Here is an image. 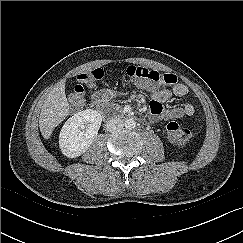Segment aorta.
Wrapping results in <instances>:
<instances>
[{"instance_id": "762f6f07", "label": "aorta", "mask_w": 243, "mask_h": 243, "mask_svg": "<svg viewBox=\"0 0 243 243\" xmlns=\"http://www.w3.org/2000/svg\"><path fill=\"white\" fill-rule=\"evenodd\" d=\"M124 126L128 130H132V129L135 128L136 122L133 119L130 118V119L125 120Z\"/></svg>"}]
</instances>
